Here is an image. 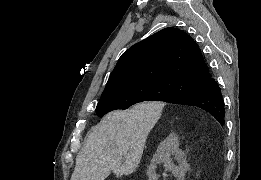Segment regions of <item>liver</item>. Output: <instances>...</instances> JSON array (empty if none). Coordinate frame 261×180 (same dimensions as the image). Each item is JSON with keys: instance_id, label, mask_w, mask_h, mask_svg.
I'll return each mask as SVG.
<instances>
[{"instance_id": "6515ba94", "label": "liver", "mask_w": 261, "mask_h": 180, "mask_svg": "<svg viewBox=\"0 0 261 180\" xmlns=\"http://www.w3.org/2000/svg\"><path fill=\"white\" fill-rule=\"evenodd\" d=\"M156 110L157 102H147L106 114L76 156L71 180H106L111 172L115 178L135 172L157 122Z\"/></svg>"}]
</instances>
